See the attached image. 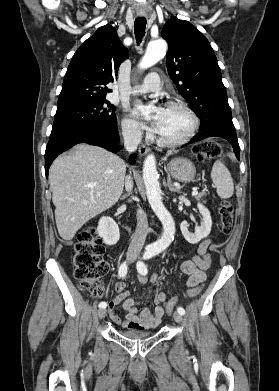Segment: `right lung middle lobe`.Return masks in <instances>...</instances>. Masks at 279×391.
Wrapping results in <instances>:
<instances>
[{"mask_svg":"<svg viewBox=\"0 0 279 391\" xmlns=\"http://www.w3.org/2000/svg\"><path fill=\"white\" fill-rule=\"evenodd\" d=\"M115 107L106 99L73 104L57 109L52 131L115 120Z\"/></svg>","mask_w":279,"mask_h":391,"instance_id":"dd1d6c3e","label":"right lung middle lobe"}]
</instances>
